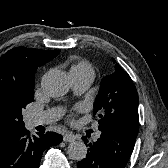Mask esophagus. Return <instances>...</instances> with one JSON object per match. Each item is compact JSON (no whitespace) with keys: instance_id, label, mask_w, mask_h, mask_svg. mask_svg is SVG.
<instances>
[{"instance_id":"1","label":"esophagus","mask_w":168,"mask_h":168,"mask_svg":"<svg viewBox=\"0 0 168 168\" xmlns=\"http://www.w3.org/2000/svg\"><path fill=\"white\" fill-rule=\"evenodd\" d=\"M77 139V137L72 133H66L63 135V141L65 142H73Z\"/></svg>"}]
</instances>
